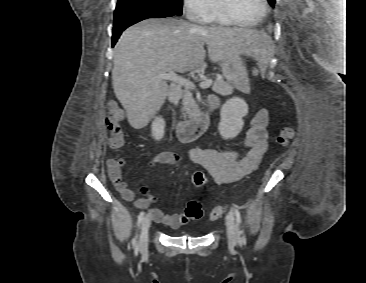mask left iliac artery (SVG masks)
Masks as SVG:
<instances>
[{
    "mask_svg": "<svg viewBox=\"0 0 366 283\" xmlns=\"http://www.w3.org/2000/svg\"><path fill=\"white\" fill-rule=\"evenodd\" d=\"M233 210H234L237 224L239 225V231H238L239 240H240V242H244L245 241L244 230H243V226H242V219H241L240 212L235 205H233Z\"/></svg>",
    "mask_w": 366,
    "mask_h": 283,
    "instance_id": "obj_1",
    "label": "left iliac artery"
}]
</instances>
